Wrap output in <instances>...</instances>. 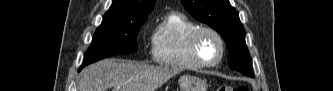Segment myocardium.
Segmentation results:
<instances>
[{"mask_svg": "<svg viewBox=\"0 0 333 91\" xmlns=\"http://www.w3.org/2000/svg\"><path fill=\"white\" fill-rule=\"evenodd\" d=\"M205 33L212 34L217 39L219 46H220V54H219L217 60L214 62L204 61L199 54V41H200L201 36ZM225 51H226L225 41H224L222 35L216 29H214L212 27H208V26L198 27L190 36V52H191V55H192L194 61L200 67H203V68L216 67L217 65H219L222 62V60L225 56Z\"/></svg>", "mask_w": 333, "mask_h": 91, "instance_id": "1", "label": "myocardium"}]
</instances>
